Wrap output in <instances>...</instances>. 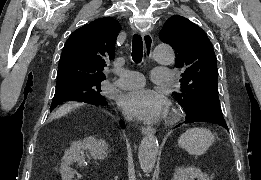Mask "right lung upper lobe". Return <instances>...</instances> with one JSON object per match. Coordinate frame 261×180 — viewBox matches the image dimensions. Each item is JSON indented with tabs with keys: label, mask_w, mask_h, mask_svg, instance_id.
Here are the masks:
<instances>
[{
	"label": "right lung upper lobe",
	"mask_w": 261,
	"mask_h": 180,
	"mask_svg": "<svg viewBox=\"0 0 261 180\" xmlns=\"http://www.w3.org/2000/svg\"><path fill=\"white\" fill-rule=\"evenodd\" d=\"M120 30L117 20L105 17L74 31L64 45L56 83L104 80L105 62L114 57L116 37Z\"/></svg>",
	"instance_id": "obj_1"
}]
</instances>
